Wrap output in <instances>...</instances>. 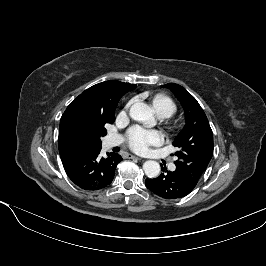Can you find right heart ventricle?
Instances as JSON below:
<instances>
[{
	"instance_id": "right-heart-ventricle-1",
	"label": "right heart ventricle",
	"mask_w": 266,
	"mask_h": 266,
	"mask_svg": "<svg viewBox=\"0 0 266 266\" xmlns=\"http://www.w3.org/2000/svg\"><path fill=\"white\" fill-rule=\"evenodd\" d=\"M152 104L155 112L161 118H167L173 115L176 110V104L168 96L158 94L152 98Z\"/></svg>"
}]
</instances>
